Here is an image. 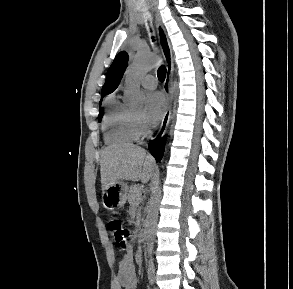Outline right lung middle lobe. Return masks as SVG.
Here are the masks:
<instances>
[{
  "mask_svg": "<svg viewBox=\"0 0 293 289\" xmlns=\"http://www.w3.org/2000/svg\"><path fill=\"white\" fill-rule=\"evenodd\" d=\"M102 116H103V112H100V113H99V116H98V120H99V121H101Z\"/></svg>",
  "mask_w": 293,
  "mask_h": 289,
  "instance_id": "right-lung-middle-lobe-1",
  "label": "right lung middle lobe"
}]
</instances>
